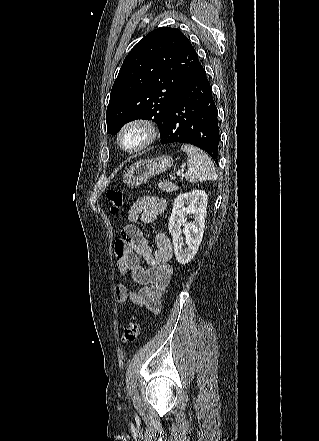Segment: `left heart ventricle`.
<instances>
[{"mask_svg": "<svg viewBox=\"0 0 319 441\" xmlns=\"http://www.w3.org/2000/svg\"><path fill=\"white\" fill-rule=\"evenodd\" d=\"M141 141V133L138 130L129 132L125 136V144L129 147L137 145Z\"/></svg>", "mask_w": 319, "mask_h": 441, "instance_id": "obj_1", "label": "left heart ventricle"}]
</instances>
